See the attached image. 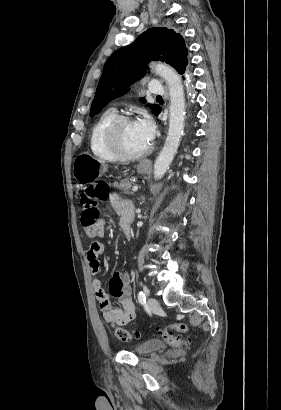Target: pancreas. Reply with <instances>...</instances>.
I'll return each mask as SVG.
<instances>
[{
    "mask_svg": "<svg viewBox=\"0 0 281 410\" xmlns=\"http://www.w3.org/2000/svg\"><path fill=\"white\" fill-rule=\"evenodd\" d=\"M132 185H133V182L128 178L121 180L119 184L114 183V186L119 188L124 194H131L130 189Z\"/></svg>",
    "mask_w": 281,
    "mask_h": 410,
    "instance_id": "cf45deb5",
    "label": "pancreas"
}]
</instances>
